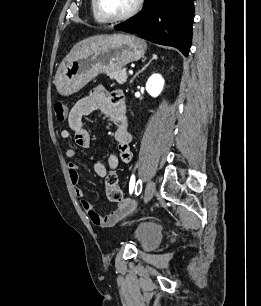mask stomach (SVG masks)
<instances>
[{
	"instance_id": "stomach-1",
	"label": "stomach",
	"mask_w": 261,
	"mask_h": 306,
	"mask_svg": "<svg viewBox=\"0 0 261 306\" xmlns=\"http://www.w3.org/2000/svg\"><path fill=\"white\" fill-rule=\"evenodd\" d=\"M146 48L143 40L124 33L95 41L63 60L54 79L56 89L64 96L76 93L97 75L121 69L141 59Z\"/></svg>"
}]
</instances>
